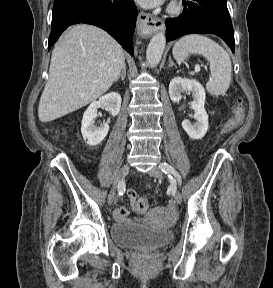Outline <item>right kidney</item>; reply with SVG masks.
<instances>
[{
  "label": "right kidney",
  "mask_w": 273,
  "mask_h": 288,
  "mask_svg": "<svg viewBox=\"0 0 273 288\" xmlns=\"http://www.w3.org/2000/svg\"><path fill=\"white\" fill-rule=\"evenodd\" d=\"M105 106L113 117L117 116L121 107V96L119 93L111 92L92 102L84 112L81 126L83 139L90 146L100 144L109 131L108 123H103L99 127L94 125L98 108Z\"/></svg>",
  "instance_id": "ca27d5eb"
}]
</instances>
